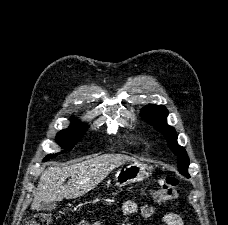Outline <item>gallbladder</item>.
I'll return each mask as SVG.
<instances>
[{
    "label": "gallbladder",
    "mask_w": 228,
    "mask_h": 225,
    "mask_svg": "<svg viewBox=\"0 0 228 225\" xmlns=\"http://www.w3.org/2000/svg\"><path fill=\"white\" fill-rule=\"evenodd\" d=\"M56 207L57 205L55 201H50V203H40L39 211H53Z\"/></svg>",
    "instance_id": "1"
}]
</instances>
